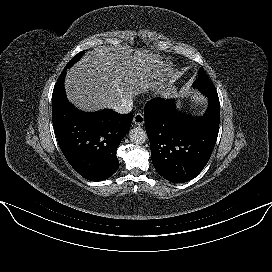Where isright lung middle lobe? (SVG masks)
<instances>
[{
    "label": "right lung middle lobe",
    "instance_id": "dd1d6c3e",
    "mask_svg": "<svg viewBox=\"0 0 272 272\" xmlns=\"http://www.w3.org/2000/svg\"><path fill=\"white\" fill-rule=\"evenodd\" d=\"M84 54V51L78 53L76 56H74L70 62L66 65V67L64 68V70L62 71L57 83L55 84L54 87V91L58 90V88H60L63 84H64V79H65V75H66V69H69L75 62H77L82 55Z\"/></svg>",
    "mask_w": 272,
    "mask_h": 272
}]
</instances>
